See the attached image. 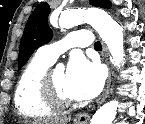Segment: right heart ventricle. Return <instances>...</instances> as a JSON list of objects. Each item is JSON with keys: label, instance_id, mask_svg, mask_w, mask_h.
Instances as JSON below:
<instances>
[{"label": "right heart ventricle", "instance_id": "1", "mask_svg": "<svg viewBox=\"0 0 145 124\" xmlns=\"http://www.w3.org/2000/svg\"><path fill=\"white\" fill-rule=\"evenodd\" d=\"M51 64L36 55L22 71L14 95L15 106L21 116L43 118L54 113V109L43 101L40 93L42 76Z\"/></svg>", "mask_w": 145, "mask_h": 124}]
</instances>
